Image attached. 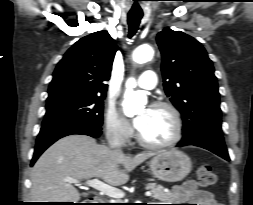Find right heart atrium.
<instances>
[{"label":"right heart atrium","instance_id":"d8ad5b80","mask_svg":"<svg viewBox=\"0 0 253 205\" xmlns=\"http://www.w3.org/2000/svg\"><path fill=\"white\" fill-rule=\"evenodd\" d=\"M104 130L107 137L119 144H125L132 135L129 121L114 107H108L104 113Z\"/></svg>","mask_w":253,"mask_h":205}]
</instances>
